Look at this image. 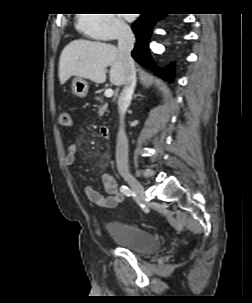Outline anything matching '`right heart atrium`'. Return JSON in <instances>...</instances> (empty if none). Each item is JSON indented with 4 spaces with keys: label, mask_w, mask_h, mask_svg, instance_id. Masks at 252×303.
Here are the masks:
<instances>
[{
    "label": "right heart atrium",
    "mask_w": 252,
    "mask_h": 303,
    "mask_svg": "<svg viewBox=\"0 0 252 303\" xmlns=\"http://www.w3.org/2000/svg\"><path fill=\"white\" fill-rule=\"evenodd\" d=\"M78 27L89 37L112 41L129 33V26L119 14H79Z\"/></svg>",
    "instance_id": "obj_1"
}]
</instances>
